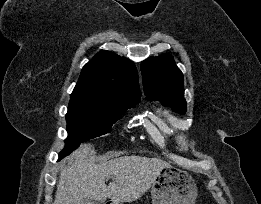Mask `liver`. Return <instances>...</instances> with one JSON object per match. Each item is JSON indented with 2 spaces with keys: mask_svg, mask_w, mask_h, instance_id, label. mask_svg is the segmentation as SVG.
I'll return each mask as SVG.
<instances>
[{
  "mask_svg": "<svg viewBox=\"0 0 261 204\" xmlns=\"http://www.w3.org/2000/svg\"><path fill=\"white\" fill-rule=\"evenodd\" d=\"M73 163L60 172L53 204H81L85 199L121 204L139 199L169 165L158 158L123 156L96 162L91 144H84L70 157ZM111 177L107 186L105 179Z\"/></svg>",
  "mask_w": 261,
  "mask_h": 204,
  "instance_id": "obj_1",
  "label": "liver"
}]
</instances>
